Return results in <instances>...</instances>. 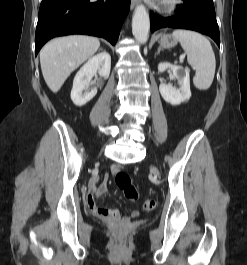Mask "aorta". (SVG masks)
Masks as SVG:
<instances>
[{
    "label": "aorta",
    "instance_id": "obj_1",
    "mask_svg": "<svg viewBox=\"0 0 247 265\" xmlns=\"http://www.w3.org/2000/svg\"><path fill=\"white\" fill-rule=\"evenodd\" d=\"M150 29L149 14L144 5H138L132 17V33L140 43H146Z\"/></svg>",
    "mask_w": 247,
    "mask_h": 265
}]
</instances>
